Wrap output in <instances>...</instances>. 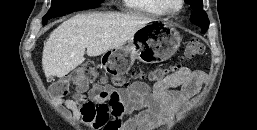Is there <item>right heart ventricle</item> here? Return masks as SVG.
I'll use <instances>...</instances> for the list:
<instances>
[{
    "mask_svg": "<svg viewBox=\"0 0 257 130\" xmlns=\"http://www.w3.org/2000/svg\"><path fill=\"white\" fill-rule=\"evenodd\" d=\"M125 6L133 13L147 16H164L167 12L159 0H123Z\"/></svg>",
    "mask_w": 257,
    "mask_h": 130,
    "instance_id": "e07e8e85",
    "label": "right heart ventricle"
}]
</instances>
